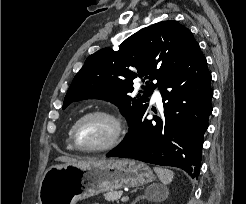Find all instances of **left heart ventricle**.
<instances>
[{"label": "left heart ventricle", "mask_w": 246, "mask_h": 204, "mask_svg": "<svg viewBox=\"0 0 246 204\" xmlns=\"http://www.w3.org/2000/svg\"><path fill=\"white\" fill-rule=\"evenodd\" d=\"M114 126L106 118L90 117L78 127L76 138L80 146L93 148L105 144L112 136Z\"/></svg>", "instance_id": "1"}]
</instances>
